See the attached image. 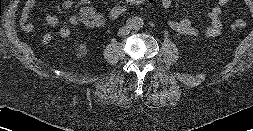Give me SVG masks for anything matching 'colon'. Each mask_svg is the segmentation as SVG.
<instances>
[{"label":"colon","mask_w":253,"mask_h":131,"mask_svg":"<svg viewBox=\"0 0 253 131\" xmlns=\"http://www.w3.org/2000/svg\"><path fill=\"white\" fill-rule=\"evenodd\" d=\"M153 0H122L114 4L106 13V17L110 20L118 19L124 16L128 11L139 5L146 3H151ZM246 20L244 18H237L232 23V28L235 30L244 29L246 27ZM51 40H43L45 44L49 43Z\"/></svg>","instance_id":"obj_1"}]
</instances>
